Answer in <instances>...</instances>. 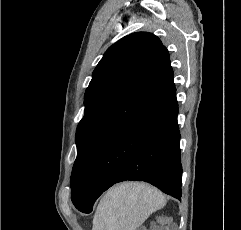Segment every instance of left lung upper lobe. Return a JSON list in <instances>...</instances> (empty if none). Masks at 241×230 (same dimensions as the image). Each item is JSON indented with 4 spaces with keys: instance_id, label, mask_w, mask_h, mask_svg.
<instances>
[{
    "instance_id": "5c2ea615",
    "label": "left lung upper lobe",
    "mask_w": 241,
    "mask_h": 230,
    "mask_svg": "<svg viewBox=\"0 0 241 230\" xmlns=\"http://www.w3.org/2000/svg\"><path fill=\"white\" fill-rule=\"evenodd\" d=\"M173 78L168 50L152 33L125 36L95 68L76 131L71 199L78 204L88 171L103 146Z\"/></svg>"
}]
</instances>
